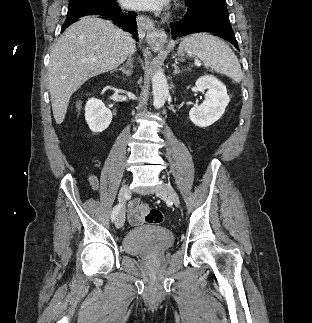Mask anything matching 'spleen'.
Segmentation results:
<instances>
[{"instance_id": "obj_1", "label": "spleen", "mask_w": 312, "mask_h": 323, "mask_svg": "<svg viewBox=\"0 0 312 323\" xmlns=\"http://www.w3.org/2000/svg\"><path fill=\"white\" fill-rule=\"evenodd\" d=\"M179 54L186 52L187 56L197 58L206 68H211L218 74H225L233 82H241L243 78L241 66L231 48L207 32L190 34L182 38L178 48Z\"/></svg>"}]
</instances>
